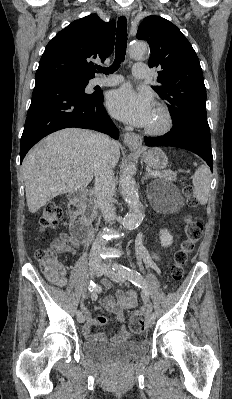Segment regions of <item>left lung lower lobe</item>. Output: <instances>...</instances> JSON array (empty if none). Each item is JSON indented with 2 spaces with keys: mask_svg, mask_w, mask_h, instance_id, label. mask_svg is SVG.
Masks as SVG:
<instances>
[{
  "mask_svg": "<svg viewBox=\"0 0 232 399\" xmlns=\"http://www.w3.org/2000/svg\"><path fill=\"white\" fill-rule=\"evenodd\" d=\"M147 146H171L189 150L199 155L213 170L211 141L187 132L171 130L163 136L144 137Z\"/></svg>",
  "mask_w": 232,
  "mask_h": 399,
  "instance_id": "obj_1",
  "label": "left lung lower lobe"
}]
</instances>
